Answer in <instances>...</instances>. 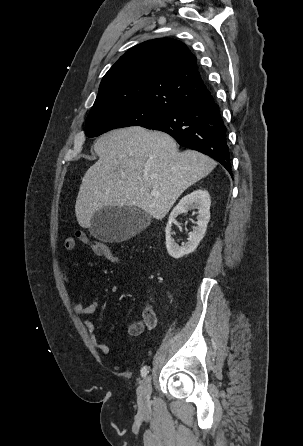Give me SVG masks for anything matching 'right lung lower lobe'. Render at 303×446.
Wrapping results in <instances>:
<instances>
[{
  "instance_id": "obj_1",
  "label": "right lung lower lobe",
  "mask_w": 303,
  "mask_h": 446,
  "mask_svg": "<svg viewBox=\"0 0 303 446\" xmlns=\"http://www.w3.org/2000/svg\"><path fill=\"white\" fill-rule=\"evenodd\" d=\"M140 126L168 133L181 146L212 157L232 173L226 127L210 92L184 102Z\"/></svg>"
}]
</instances>
